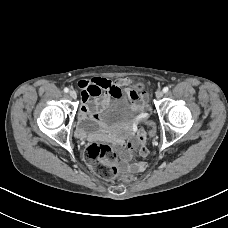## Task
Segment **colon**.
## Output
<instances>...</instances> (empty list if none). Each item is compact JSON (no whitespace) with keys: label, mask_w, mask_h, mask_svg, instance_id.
Returning <instances> with one entry per match:
<instances>
[{"label":"colon","mask_w":228,"mask_h":228,"mask_svg":"<svg viewBox=\"0 0 228 228\" xmlns=\"http://www.w3.org/2000/svg\"><path fill=\"white\" fill-rule=\"evenodd\" d=\"M85 161L89 168L99 177L111 180L117 176L118 153L111 145L92 143L85 151ZM134 176L128 173L124 180L131 181Z\"/></svg>","instance_id":"1"}]
</instances>
